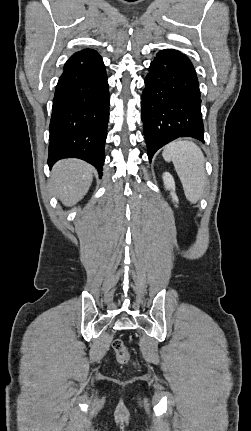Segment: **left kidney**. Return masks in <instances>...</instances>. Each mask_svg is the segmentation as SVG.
Listing matches in <instances>:
<instances>
[{
  "mask_svg": "<svg viewBox=\"0 0 251 431\" xmlns=\"http://www.w3.org/2000/svg\"><path fill=\"white\" fill-rule=\"evenodd\" d=\"M163 182H164L165 188L167 190L171 191L170 194H171L172 200L174 202L178 203V198H177V195L175 193V181H174L172 175L168 172H165L163 174Z\"/></svg>",
  "mask_w": 251,
  "mask_h": 431,
  "instance_id": "5707ae66",
  "label": "left kidney"
}]
</instances>
